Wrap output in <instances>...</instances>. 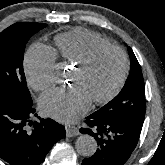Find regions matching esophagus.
<instances>
[{
    "mask_svg": "<svg viewBox=\"0 0 165 165\" xmlns=\"http://www.w3.org/2000/svg\"><path fill=\"white\" fill-rule=\"evenodd\" d=\"M66 129V136L67 137H74L79 135V129L75 126L68 125L65 127Z\"/></svg>",
    "mask_w": 165,
    "mask_h": 165,
    "instance_id": "obj_1",
    "label": "esophagus"
}]
</instances>
